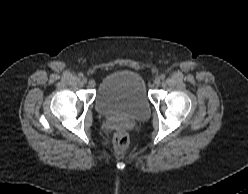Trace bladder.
Here are the masks:
<instances>
[{"label": "bladder", "mask_w": 248, "mask_h": 194, "mask_svg": "<svg viewBox=\"0 0 248 194\" xmlns=\"http://www.w3.org/2000/svg\"><path fill=\"white\" fill-rule=\"evenodd\" d=\"M95 107L102 115L146 118L150 113V100L144 78L129 70L108 74L98 86Z\"/></svg>", "instance_id": "31cf9c89"}]
</instances>
